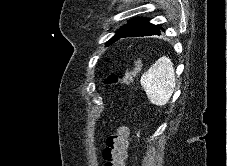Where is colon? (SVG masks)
<instances>
[{
	"mask_svg": "<svg viewBox=\"0 0 227 166\" xmlns=\"http://www.w3.org/2000/svg\"><path fill=\"white\" fill-rule=\"evenodd\" d=\"M141 62L136 60L131 70L122 77L110 74L105 78L106 84H130L133 76L140 70ZM128 150V130L125 126L119 127L106 139L103 149L104 166H125Z\"/></svg>",
	"mask_w": 227,
	"mask_h": 166,
	"instance_id": "colon-1",
	"label": "colon"
}]
</instances>
